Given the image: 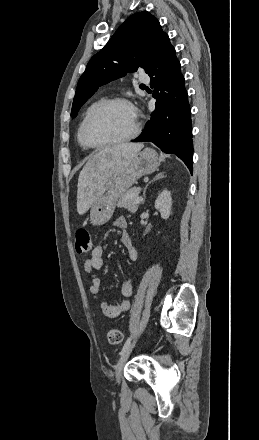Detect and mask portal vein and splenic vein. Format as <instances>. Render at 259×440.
<instances>
[{"mask_svg":"<svg viewBox=\"0 0 259 440\" xmlns=\"http://www.w3.org/2000/svg\"><path fill=\"white\" fill-rule=\"evenodd\" d=\"M141 201H142V198L141 197H137L136 200H135V203L139 204Z\"/></svg>","mask_w":259,"mask_h":440,"instance_id":"18ae733b","label":"portal vein and splenic vein"}]
</instances>
